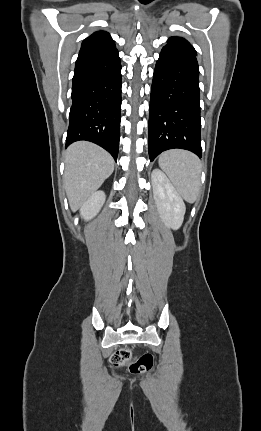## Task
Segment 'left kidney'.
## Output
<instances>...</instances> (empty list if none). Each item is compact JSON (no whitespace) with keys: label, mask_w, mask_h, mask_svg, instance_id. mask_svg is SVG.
<instances>
[{"label":"left kidney","mask_w":261,"mask_h":431,"mask_svg":"<svg viewBox=\"0 0 261 431\" xmlns=\"http://www.w3.org/2000/svg\"><path fill=\"white\" fill-rule=\"evenodd\" d=\"M153 196L157 210L164 224L177 230L181 227L186 211L185 204L166 175L159 169L151 174Z\"/></svg>","instance_id":"5707ae66"}]
</instances>
